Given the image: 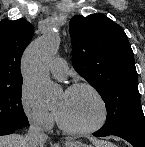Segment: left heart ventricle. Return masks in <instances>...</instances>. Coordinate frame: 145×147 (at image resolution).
Wrapping results in <instances>:
<instances>
[{
	"mask_svg": "<svg viewBox=\"0 0 145 147\" xmlns=\"http://www.w3.org/2000/svg\"><path fill=\"white\" fill-rule=\"evenodd\" d=\"M64 121L72 127L86 128L94 125L101 116V107L87 89L62 92L54 103Z\"/></svg>",
	"mask_w": 145,
	"mask_h": 147,
	"instance_id": "1",
	"label": "left heart ventricle"
}]
</instances>
